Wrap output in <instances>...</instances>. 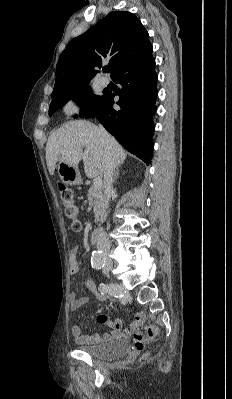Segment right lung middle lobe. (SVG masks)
I'll list each match as a JSON object with an SVG mask.
<instances>
[{"mask_svg": "<svg viewBox=\"0 0 232 399\" xmlns=\"http://www.w3.org/2000/svg\"><path fill=\"white\" fill-rule=\"evenodd\" d=\"M104 95L105 92L103 96L93 94L88 83L81 84L69 92L52 95L53 100L49 107V115L51 116L56 109L63 107L71 99L76 101L81 107L80 113L91 112L100 105Z\"/></svg>", "mask_w": 232, "mask_h": 399, "instance_id": "1", "label": "right lung middle lobe"}]
</instances>
